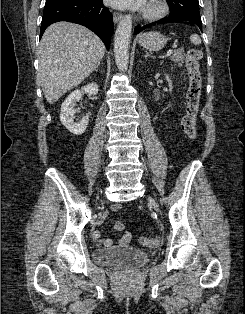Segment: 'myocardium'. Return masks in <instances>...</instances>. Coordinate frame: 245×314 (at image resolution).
Here are the masks:
<instances>
[{
  "instance_id": "myocardium-1",
  "label": "myocardium",
  "mask_w": 245,
  "mask_h": 314,
  "mask_svg": "<svg viewBox=\"0 0 245 314\" xmlns=\"http://www.w3.org/2000/svg\"><path fill=\"white\" fill-rule=\"evenodd\" d=\"M169 11L165 0H149L143 11V18L146 20H157L164 17Z\"/></svg>"
}]
</instances>
